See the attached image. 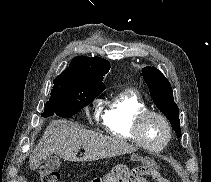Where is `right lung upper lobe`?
<instances>
[{
  "label": "right lung upper lobe",
  "instance_id": "1",
  "mask_svg": "<svg viewBox=\"0 0 211 182\" xmlns=\"http://www.w3.org/2000/svg\"><path fill=\"white\" fill-rule=\"evenodd\" d=\"M110 64L100 57H75L59 76L77 83L88 84L104 90L103 76L109 71Z\"/></svg>",
  "mask_w": 211,
  "mask_h": 182
}]
</instances>
